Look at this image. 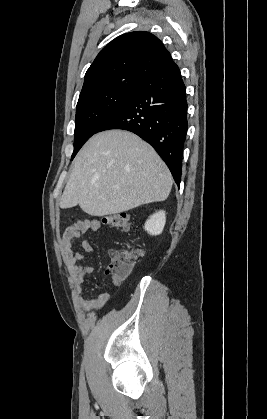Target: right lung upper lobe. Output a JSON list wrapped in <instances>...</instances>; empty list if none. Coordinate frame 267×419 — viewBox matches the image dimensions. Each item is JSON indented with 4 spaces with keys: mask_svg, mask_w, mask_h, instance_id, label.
Wrapping results in <instances>:
<instances>
[{
    "mask_svg": "<svg viewBox=\"0 0 267 419\" xmlns=\"http://www.w3.org/2000/svg\"><path fill=\"white\" fill-rule=\"evenodd\" d=\"M172 63L168 50L151 33L123 34L107 44L89 67L79 100L106 90L141 85Z\"/></svg>",
    "mask_w": 267,
    "mask_h": 419,
    "instance_id": "1",
    "label": "right lung upper lobe"
}]
</instances>
